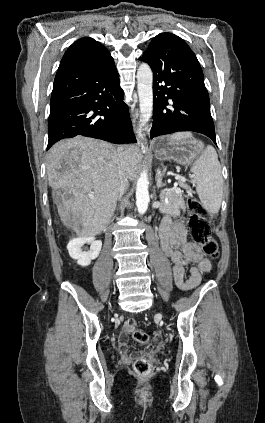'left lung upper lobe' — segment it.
<instances>
[{
    "instance_id": "left-lung-upper-lobe-1",
    "label": "left lung upper lobe",
    "mask_w": 265,
    "mask_h": 423,
    "mask_svg": "<svg viewBox=\"0 0 265 423\" xmlns=\"http://www.w3.org/2000/svg\"><path fill=\"white\" fill-rule=\"evenodd\" d=\"M167 34H169V33H161V34L157 35V36L153 39L152 43H154V42H156V41H158V40L162 39V38H163L165 35H167Z\"/></svg>"
}]
</instances>
